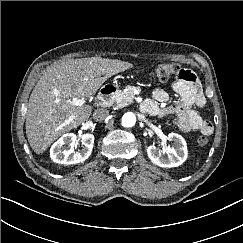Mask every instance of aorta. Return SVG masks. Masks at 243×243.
I'll return each instance as SVG.
<instances>
[{
  "label": "aorta",
  "instance_id": "1",
  "mask_svg": "<svg viewBox=\"0 0 243 243\" xmlns=\"http://www.w3.org/2000/svg\"><path fill=\"white\" fill-rule=\"evenodd\" d=\"M121 123L124 127H133L136 123V115L133 112L125 113L122 117Z\"/></svg>",
  "mask_w": 243,
  "mask_h": 243
}]
</instances>
